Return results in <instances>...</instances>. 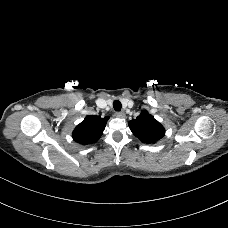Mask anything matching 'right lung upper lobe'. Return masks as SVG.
I'll use <instances>...</instances> for the list:
<instances>
[{"instance_id":"right-lung-upper-lobe-1","label":"right lung upper lobe","mask_w":228,"mask_h":228,"mask_svg":"<svg viewBox=\"0 0 228 228\" xmlns=\"http://www.w3.org/2000/svg\"><path fill=\"white\" fill-rule=\"evenodd\" d=\"M108 119V116L104 118L97 115L86 116L72 133L74 141L82 145L95 143L101 137Z\"/></svg>"}]
</instances>
